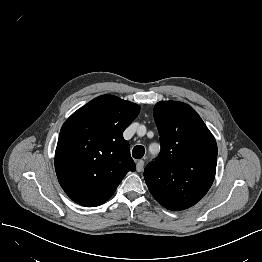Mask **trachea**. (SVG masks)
<instances>
[{
  "label": "trachea",
  "instance_id": "trachea-1",
  "mask_svg": "<svg viewBox=\"0 0 262 262\" xmlns=\"http://www.w3.org/2000/svg\"><path fill=\"white\" fill-rule=\"evenodd\" d=\"M145 154V148L141 145H137L132 150V156L135 159H141Z\"/></svg>",
  "mask_w": 262,
  "mask_h": 262
}]
</instances>
